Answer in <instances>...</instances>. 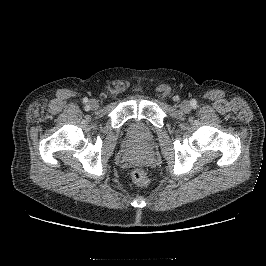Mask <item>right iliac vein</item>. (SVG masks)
<instances>
[{"mask_svg": "<svg viewBox=\"0 0 266 266\" xmlns=\"http://www.w3.org/2000/svg\"><path fill=\"white\" fill-rule=\"evenodd\" d=\"M89 106H90L91 109L96 110L99 107V103H98L97 100L92 99V100L89 101Z\"/></svg>", "mask_w": 266, "mask_h": 266, "instance_id": "obj_1", "label": "right iliac vein"}]
</instances>
